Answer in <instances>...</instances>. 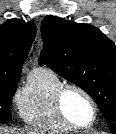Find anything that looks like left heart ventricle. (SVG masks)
Segmentation results:
<instances>
[{
	"label": "left heart ventricle",
	"mask_w": 116,
	"mask_h": 134,
	"mask_svg": "<svg viewBox=\"0 0 116 134\" xmlns=\"http://www.w3.org/2000/svg\"><path fill=\"white\" fill-rule=\"evenodd\" d=\"M66 114L76 123L87 125L91 122L93 112L88 100L79 92L69 90L64 96Z\"/></svg>",
	"instance_id": "1"
}]
</instances>
